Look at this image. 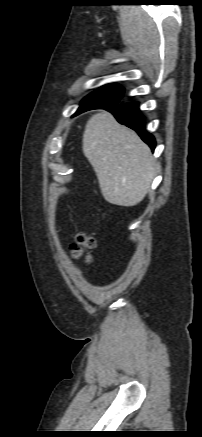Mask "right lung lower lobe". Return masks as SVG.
I'll use <instances>...</instances> for the list:
<instances>
[{
  "instance_id": "98d812e1",
  "label": "right lung lower lobe",
  "mask_w": 202,
  "mask_h": 437,
  "mask_svg": "<svg viewBox=\"0 0 202 437\" xmlns=\"http://www.w3.org/2000/svg\"><path fill=\"white\" fill-rule=\"evenodd\" d=\"M99 109H105L111 112L119 123L135 130L142 140L151 147L152 150L155 149V139L145 130L144 117L141 115L138 102L104 105Z\"/></svg>"
}]
</instances>
